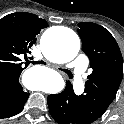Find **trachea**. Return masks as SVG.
<instances>
[{
	"mask_svg": "<svg viewBox=\"0 0 124 124\" xmlns=\"http://www.w3.org/2000/svg\"><path fill=\"white\" fill-rule=\"evenodd\" d=\"M63 71L68 74V76H69L70 79L73 78V75H72L71 71H69V70H67V69H65V70H63Z\"/></svg>",
	"mask_w": 124,
	"mask_h": 124,
	"instance_id": "trachea-1",
	"label": "trachea"
}]
</instances>
